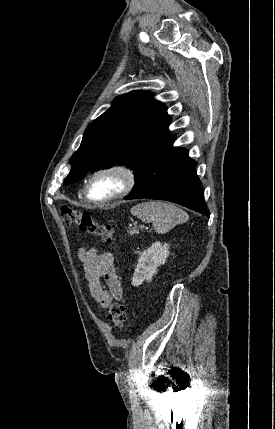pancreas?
<instances>
[{"mask_svg": "<svg viewBox=\"0 0 275 429\" xmlns=\"http://www.w3.org/2000/svg\"><path fill=\"white\" fill-rule=\"evenodd\" d=\"M138 233H139V230L136 228H133L132 230L129 231L130 236H133L134 234H138Z\"/></svg>", "mask_w": 275, "mask_h": 429, "instance_id": "obj_1", "label": "pancreas"}]
</instances>
